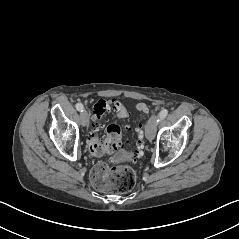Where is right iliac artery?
<instances>
[{
  "label": "right iliac artery",
  "instance_id": "obj_1",
  "mask_svg": "<svg viewBox=\"0 0 239 239\" xmlns=\"http://www.w3.org/2000/svg\"><path fill=\"white\" fill-rule=\"evenodd\" d=\"M76 109L80 112H82L84 110V106L82 103H77L76 104Z\"/></svg>",
  "mask_w": 239,
  "mask_h": 239
}]
</instances>
